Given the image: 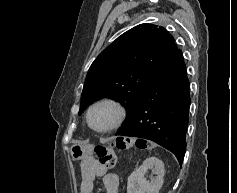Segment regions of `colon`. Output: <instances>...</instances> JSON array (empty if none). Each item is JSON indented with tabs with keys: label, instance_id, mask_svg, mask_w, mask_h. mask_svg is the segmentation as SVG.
Returning a JSON list of instances; mask_svg holds the SVG:
<instances>
[{
	"label": "colon",
	"instance_id": "obj_1",
	"mask_svg": "<svg viewBox=\"0 0 237 193\" xmlns=\"http://www.w3.org/2000/svg\"><path fill=\"white\" fill-rule=\"evenodd\" d=\"M135 145L137 148L145 149L147 146L140 139H132L129 137H118L115 146L119 150H128ZM96 162L103 169H112L116 164V153L111 147L98 146L95 148Z\"/></svg>",
	"mask_w": 237,
	"mask_h": 193
}]
</instances>
